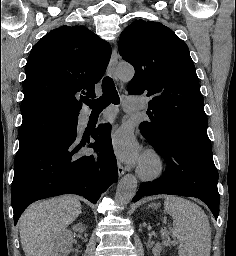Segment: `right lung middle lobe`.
<instances>
[{"label":"right lung middle lobe","instance_id":"dd1d6c3e","mask_svg":"<svg viewBox=\"0 0 236 256\" xmlns=\"http://www.w3.org/2000/svg\"><path fill=\"white\" fill-rule=\"evenodd\" d=\"M78 118L46 112L24 119L19 129V149L59 132L77 129Z\"/></svg>","mask_w":236,"mask_h":256}]
</instances>
